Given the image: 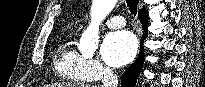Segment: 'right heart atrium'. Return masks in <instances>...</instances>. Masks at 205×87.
Here are the masks:
<instances>
[{
    "instance_id": "right-heart-atrium-1",
    "label": "right heart atrium",
    "mask_w": 205,
    "mask_h": 87,
    "mask_svg": "<svg viewBox=\"0 0 205 87\" xmlns=\"http://www.w3.org/2000/svg\"><path fill=\"white\" fill-rule=\"evenodd\" d=\"M80 71L89 80H96L111 72L109 68L94 58H82Z\"/></svg>"
}]
</instances>
